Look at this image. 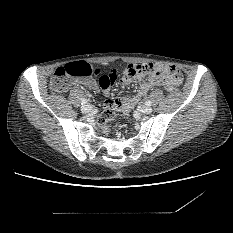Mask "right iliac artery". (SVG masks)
Returning a JSON list of instances; mask_svg holds the SVG:
<instances>
[{
  "label": "right iliac artery",
  "instance_id": "82829eb1",
  "mask_svg": "<svg viewBox=\"0 0 233 233\" xmlns=\"http://www.w3.org/2000/svg\"><path fill=\"white\" fill-rule=\"evenodd\" d=\"M87 103H88V101L86 99H82V101H81L82 105H86Z\"/></svg>",
  "mask_w": 233,
  "mask_h": 233
}]
</instances>
